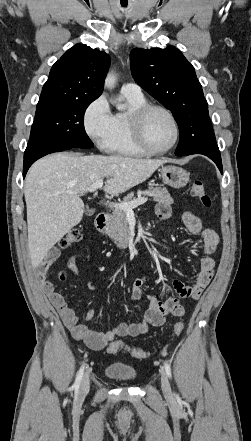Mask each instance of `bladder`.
<instances>
[{"label": "bladder", "mask_w": 251, "mask_h": 441, "mask_svg": "<svg viewBox=\"0 0 251 441\" xmlns=\"http://www.w3.org/2000/svg\"><path fill=\"white\" fill-rule=\"evenodd\" d=\"M107 378L118 382H132L137 378V371L122 364H110L104 369Z\"/></svg>", "instance_id": "bladder-1"}]
</instances>
